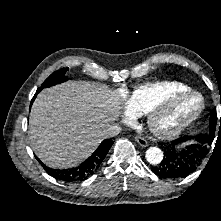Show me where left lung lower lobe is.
<instances>
[{"instance_id":"obj_1","label":"left lung lower lobe","mask_w":221,"mask_h":221,"mask_svg":"<svg viewBox=\"0 0 221 221\" xmlns=\"http://www.w3.org/2000/svg\"><path fill=\"white\" fill-rule=\"evenodd\" d=\"M189 139L191 138L185 136L167 146L163 160L157 166L152 167V171L163 179H179L193 173L203 161L206 150L198 143L184 148L177 147L178 143ZM195 139L197 140V137Z\"/></svg>"}]
</instances>
